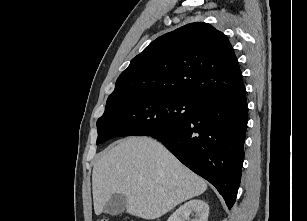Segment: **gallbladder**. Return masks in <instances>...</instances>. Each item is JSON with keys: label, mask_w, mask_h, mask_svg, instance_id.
Wrapping results in <instances>:
<instances>
[{"label": "gallbladder", "mask_w": 307, "mask_h": 221, "mask_svg": "<svg viewBox=\"0 0 307 221\" xmlns=\"http://www.w3.org/2000/svg\"><path fill=\"white\" fill-rule=\"evenodd\" d=\"M127 206V198L122 194H114L106 203L104 211L110 215L116 216L122 214Z\"/></svg>", "instance_id": "gallbladder-1"}]
</instances>
